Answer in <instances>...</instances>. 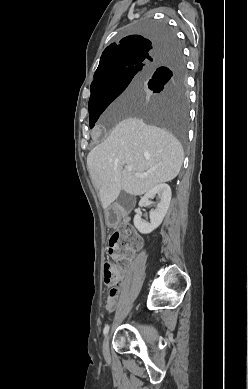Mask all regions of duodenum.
Here are the masks:
<instances>
[{
	"label": "duodenum",
	"mask_w": 248,
	"mask_h": 389,
	"mask_svg": "<svg viewBox=\"0 0 248 389\" xmlns=\"http://www.w3.org/2000/svg\"><path fill=\"white\" fill-rule=\"evenodd\" d=\"M121 213H122V211H121V209L119 207L114 208L113 210H111L107 214V217H106L107 222L109 224H112V225L116 224L118 219H119V217H120V215H121Z\"/></svg>",
	"instance_id": "duodenum-1"
}]
</instances>
